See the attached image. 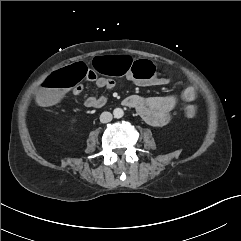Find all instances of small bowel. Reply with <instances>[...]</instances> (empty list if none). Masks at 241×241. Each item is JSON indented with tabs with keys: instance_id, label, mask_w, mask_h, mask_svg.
<instances>
[{
	"instance_id": "obj_1",
	"label": "small bowel",
	"mask_w": 241,
	"mask_h": 241,
	"mask_svg": "<svg viewBox=\"0 0 241 241\" xmlns=\"http://www.w3.org/2000/svg\"><path fill=\"white\" fill-rule=\"evenodd\" d=\"M89 81H93L97 88L104 90H112L116 82L114 79L99 76L97 73L89 69V74L85 78ZM168 82V79L163 77H152L140 82L141 86H159ZM83 92V86L77 84L72 94L75 96L80 95ZM197 97L196 86H188L182 90L179 96H140L132 94L127 96L123 100V104L126 107L136 110L138 115L148 124L155 127H162L167 125L171 119V111L177 106L179 101L191 102ZM107 103V97L105 95H93L84 100V106L89 109H99Z\"/></svg>"
}]
</instances>
